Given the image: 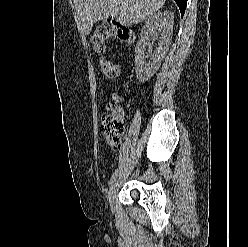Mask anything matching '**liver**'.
Masks as SVG:
<instances>
[{"label":"liver","mask_w":248,"mask_h":247,"mask_svg":"<svg viewBox=\"0 0 248 247\" xmlns=\"http://www.w3.org/2000/svg\"><path fill=\"white\" fill-rule=\"evenodd\" d=\"M166 0H74L86 34L93 24L114 15L122 25L131 26L151 17Z\"/></svg>","instance_id":"liver-1"}]
</instances>
